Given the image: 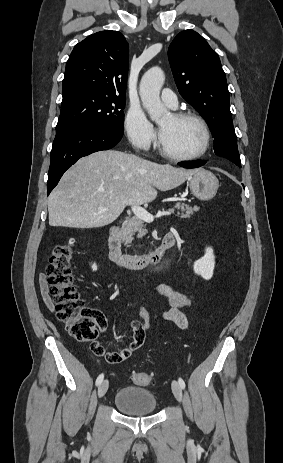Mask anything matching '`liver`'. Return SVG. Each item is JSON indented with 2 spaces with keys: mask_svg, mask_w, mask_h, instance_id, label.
<instances>
[{
  "mask_svg": "<svg viewBox=\"0 0 283 463\" xmlns=\"http://www.w3.org/2000/svg\"><path fill=\"white\" fill-rule=\"evenodd\" d=\"M198 169L158 164L106 150L77 161L48 198L49 225L97 228L114 222L128 205L152 202L157 190L180 186Z\"/></svg>",
  "mask_w": 283,
  "mask_h": 463,
  "instance_id": "6515ba94",
  "label": "liver"
}]
</instances>
